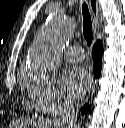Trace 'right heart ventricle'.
Instances as JSON below:
<instances>
[{
	"label": "right heart ventricle",
	"instance_id": "right-heart-ventricle-1",
	"mask_svg": "<svg viewBox=\"0 0 125 128\" xmlns=\"http://www.w3.org/2000/svg\"><path fill=\"white\" fill-rule=\"evenodd\" d=\"M32 108H35L37 111H40L36 108V106L32 103V101L30 102L28 109L31 110Z\"/></svg>",
	"mask_w": 125,
	"mask_h": 128
}]
</instances>
